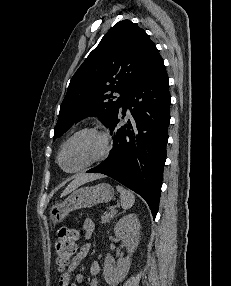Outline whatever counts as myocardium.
Masks as SVG:
<instances>
[{"instance_id":"f54148a6","label":"myocardium","mask_w":231,"mask_h":286,"mask_svg":"<svg viewBox=\"0 0 231 286\" xmlns=\"http://www.w3.org/2000/svg\"><path fill=\"white\" fill-rule=\"evenodd\" d=\"M84 133H91V134H95L96 136H98L101 140L102 143V149L100 154L95 157L94 159H92L91 161L87 162L86 164L82 165L81 167L74 169V170H65L62 166V156L64 153L65 148L67 147V145L77 136L84 134ZM111 150V144H110V139L107 135V133L105 131H103L102 129L95 127V126H85L82 128L77 129L76 131H74L62 144L61 149L59 151V155H58V164L61 167L62 170H64L67 173H78L81 171H84L86 169H88L89 167L98 164L102 161H104Z\"/></svg>"}]
</instances>
